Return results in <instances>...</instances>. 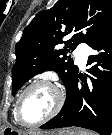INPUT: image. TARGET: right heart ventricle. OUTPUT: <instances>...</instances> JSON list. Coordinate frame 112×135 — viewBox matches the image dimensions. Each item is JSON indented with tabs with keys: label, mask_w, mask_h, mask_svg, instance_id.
I'll return each mask as SVG.
<instances>
[{
	"label": "right heart ventricle",
	"mask_w": 112,
	"mask_h": 135,
	"mask_svg": "<svg viewBox=\"0 0 112 135\" xmlns=\"http://www.w3.org/2000/svg\"><path fill=\"white\" fill-rule=\"evenodd\" d=\"M12 117H13V120L15 121V123L21 125L19 123V121L17 120L16 115H15V104H14L13 109H12Z\"/></svg>",
	"instance_id": "e07e8e85"
}]
</instances>
